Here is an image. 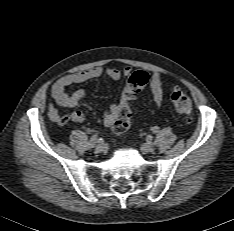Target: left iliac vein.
I'll return each instance as SVG.
<instances>
[{
    "label": "left iliac vein",
    "instance_id": "4c4485c4",
    "mask_svg": "<svg viewBox=\"0 0 234 231\" xmlns=\"http://www.w3.org/2000/svg\"><path fill=\"white\" fill-rule=\"evenodd\" d=\"M141 150L145 153L152 152L154 150V144L152 142H146L141 145Z\"/></svg>",
    "mask_w": 234,
    "mask_h": 231
}]
</instances>
